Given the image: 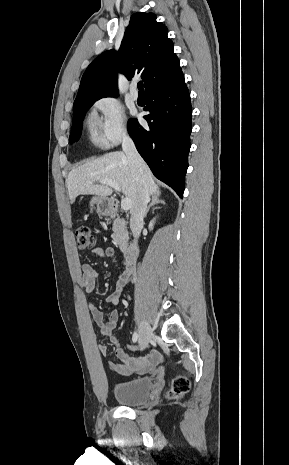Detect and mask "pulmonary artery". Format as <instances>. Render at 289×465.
Wrapping results in <instances>:
<instances>
[{
  "instance_id": "obj_1",
  "label": "pulmonary artery",
  "mask_w": 289,
  "mask_h": 465,
  "mask_svg": "<svg viewBox=\"0 0 289 465\" xmlns=\"http://www.w3.org/2000/svg\"><path fill=\"white\" fill-rule=\"evenodd\" d=\"M130 97L133 100H137L138 97H139L138 91H137V88H136V84H132L131 87H130Z\"/></svg>"
}]
</instances>
